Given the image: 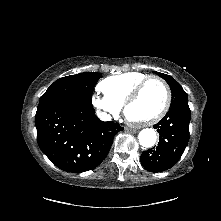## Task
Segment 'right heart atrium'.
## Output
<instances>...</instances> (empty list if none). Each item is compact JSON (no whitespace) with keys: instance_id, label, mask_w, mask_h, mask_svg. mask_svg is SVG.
<instances>
[{"instance_id":"d8ad5b80","label":"right heart atrium","mask_w":221,"mask_h":221,"mask_svg":"<svg viewBox=\"0 0 221 221\" xmlns=\"http://www.w3.org/2000/svg\"><path fill=\"white\" fill-rule=\"evenodd\" d=\"M99 91L92 96V104L97 110L99 116L102 119H108L109 117L118 114L121 106L111 101L106 96L100 95Z\"/></svg>"}]
</instances>
